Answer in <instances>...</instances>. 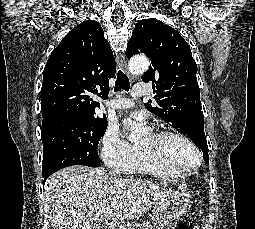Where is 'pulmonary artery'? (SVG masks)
I'll return each instance as SVG.
<instances>
[{
	"mask_svg": "<svg viewBox=\"0 0 255 229\" xmlns=\"http://www.w3.org/2000/svg\"><path fill=\"white\" fill-rule=\"evenodd\" d=\"M148 94V89L145 84L137 83L133 86L131 91V96L133 98H139L146 96ZM109 105L116 110H124L133 106V101L126 97H115L109 102Z\"/></svg>",
	"mask_w": 255,
	"mask_h": 229,
	"instance_id": "obj_1",
	"label": "pulmonary artery"
}]
</instances>
